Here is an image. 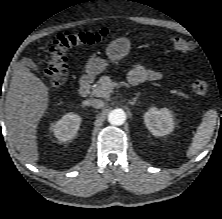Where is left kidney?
<instances>
[{"label": "left kidney", "instance_id": "obj_1", "mask_svg": "<svg viewBox=\"0 0 222 219\" xmlns=\"http://www.w3.org/2000/svg\"><path fill=\"white\" fill-rule=\"evenodd\" d=\"M144 123L154 136H165L174 129L172 112L168 108L151 107L144 114Z\"/></svg>", "mask_w": 222, "mask_h": 219}]
</instances>
